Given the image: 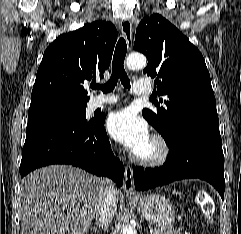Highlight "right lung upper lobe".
I'll use <instances>...</instances> for the list:
<instances>
[{"mask_svg":"<svg viewBox=\"0 0 241 234\" xmlns=\"http://www.w3.org/2000/svg\"><path fill=\"white\" fill-rule=\"evenodd\" d=\"M117 30L95 21L60 35L46 49L31 94V105L47 101L87 104L88 82L103 80L109 67Z\"/></svg>","mask_w":241,"mask_h":234,"instance_id":"1","label":"right lung upper lobe"}]
</instances>
